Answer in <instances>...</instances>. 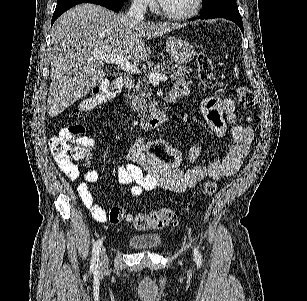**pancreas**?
I'll use <instances>...</instances> for the list:
<instances>
[{"mask_svg":"<svg viewBox=\"0 0 307 301\" xmlns=\"http://www.w3.org/2000/svg\"><path fill=\"white\" fill-rule=\"evenodd\" d=\"M150 72L169 74L172 80H176V78H183L185 76L186 68H182L179 64H174V62H169V60H163L160 64L153 66ZM149 84L150 82L147 78L137 80L134 86V92H128L129 98H132L131 106L136 110L138 116H147V114L156 110L157 102L152 98Z\"/></svg>","mask_w":307,"mask_h":301,"instance_id":"1","label":"pancreas"}]
</instances>
